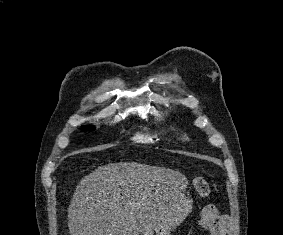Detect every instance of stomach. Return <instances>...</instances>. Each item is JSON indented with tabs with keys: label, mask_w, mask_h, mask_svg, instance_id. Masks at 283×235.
I'll return each instance as SVG.
<instances>
[{
	"label": "stomach",
	"mask_w": 283,
	"mask_h": 235,
	"mask_svg": "<svg viewBox=\"0 0 283 235\" xmlns=\"http://www.w3.org/2000/svg\"><path fill=\"white\" fill-rule=\"evenodd\" d=\"M192 210V200L184 192L177 194L170 214L141 235H170L173 226L180 224Z\"/></svg>",
	"instance_id": "obj_1"
}]
</instances>
